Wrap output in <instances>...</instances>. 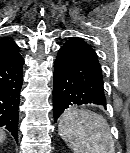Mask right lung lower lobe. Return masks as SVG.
Here are the masks:
<instances>
[{"instance_id": "right-lung-lower-lobe-1", "label": "right lung lower lobe", "mask_w": 130, "mask_h": 153, "mask_svg": "<svg viewBox=\"0 0 130 153\" xmlns=\"http://www.w3.org/2000/svg\"><path fill=\"white\" fill-rule=\"evenodd\" d=\"M23 64L21 55L0 62V127L11 132L16 141Z\"/></svg>"}]
</instances>
